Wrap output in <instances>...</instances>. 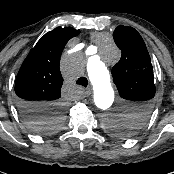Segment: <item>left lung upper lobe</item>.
Instances as JSON below:
<instances>
[{"mask_svg": "<svg viewBox=\"0 0 174 174\" xmlns=\"http://www.w3.org/2000/svg\"><path fill=\"white\" fill-rule=\"evenodd\" d=\"M116 45L121 49L120 61L112 74L119 94L131 101L127 116L111 123L110 131L119 138L136 134L148 121L156 88L153 67L146 45L132 27L118 26L113 33Z\"/></svg>", "mask_w": 174, "mask_h": 174, "instance_id": "1", "label": "left lung upper lobe"}]
</instances>
